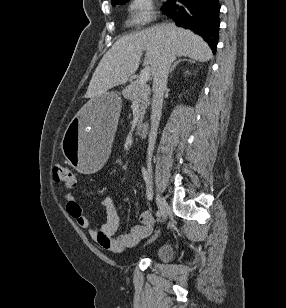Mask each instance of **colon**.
<instances>
[{"label":"colon","instance_id":"colon-1","mask_svg":"<svg viewBox=\"0 0 286 308\" xmlns=\"http://www.w3.org/2000/svg\"><path fill=\"white\" fill-rule=\"evenodd\" d=\"M53 181L67 188H72L75 186V174L74 171L66 166H56L53 168L52 172Z\"/></svg>","mask_w":286,"mask_h":308}]
</instances>
